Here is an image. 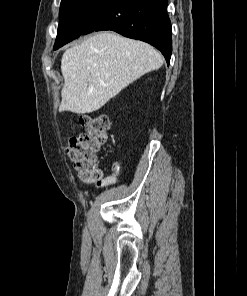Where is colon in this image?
<instances>
[{"label":"colon","instance_id":"1","mask_svg":"<svg viewBox=\"0 0 247 296\" xmlns=\"http://www.w3.org/2000/svg\"><path fill=\"white\" fill-rule=\"evenodd\" d=\"M80 124L85 132L70 140L68 155L84 183L100 182L102 173L97 162L108 142L109 120L102 115H84Z\"/></svg>","mask_w":247,"mask_h":296}]
</instances>
